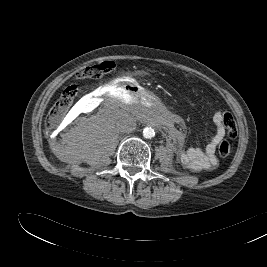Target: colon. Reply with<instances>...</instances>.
Wrapping results in <instances>:
<instances>
[{
    "mask_svg": "<svg viewBox=\"0 0 267 267\" xmlns=\"http://www.w3.org/2000/svg\"><path fill=\"white\" fill-rule=\"evenodd\" d=\"M113 67L110 62H101L91 66H86L81 68L77 76L80 79H95L109 72ZM78 89L76 86L72 85L67 87L60 95L59 99L50 109L47 115V125L49 127L56 126L65 116L69 108L72 106ZM224 124L226 126L228 136L234 137L237 133L236 124L233 116L230 113H225ZM231 152V145L227 140L220 142L218 146V153L221 157H226Z\"/></svg>",
    "mask_w": 267,
    "mask_h": 267,
    "instance_id": "1",
    "label": "colon"
}]
</instances>
